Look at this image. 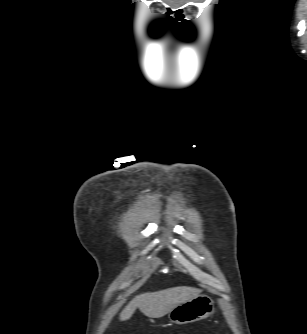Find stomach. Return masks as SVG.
<instances>
[{"label": "stomach", "instance_id": "obj_1", "mask_svg": "<svg viewBox=\"0 0 307 334\" xmlns=\"http://www.w3.org/2000/svg\"><path fill=\"white\" fill-rule=\"evenodd\" d=\"M213 310V300L207 295H198L171 309L168 317L171 322L182 325L205 319Z\"/></svg>", "mask_w": 307, "mask_h": 334}]
</instances>
